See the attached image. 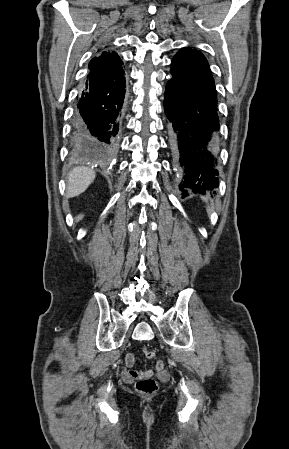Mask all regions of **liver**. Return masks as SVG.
<instances>
[{
    "instance_id": "1",
    "label": "liver",
    "mask_w": 289,
    "mask_h": 449,
    "mask_svg": "<svg viewBox=\"0 0 289 449\" xmlns=\"http://www.w3.org/2000/svg\"><path fill=\"white\" fill-rule=\"evenodd\" d=\"M96 173L88 167H76L67 177V197L72 198L82 194L94 181Z\"/></svg>"
}]
</instances>
